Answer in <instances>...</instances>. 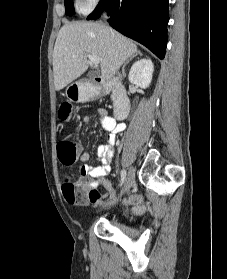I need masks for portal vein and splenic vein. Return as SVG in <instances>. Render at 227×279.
Segmentation results:
<instances>
[{
    "mask_svg": "<svg viewBox=\"0 0 227 279\" xmlns=\"http://www.w3.org/2000/svg\"><path fill=\"white\" fill-rule=\"evenodd\" d=\"M88 58H89L90 62H91L92 64H94V65H98L99 62H100V59H99V57H97V56L88 54Z\"/></svg>",
    "mask_w": 227,
    "mask_h": 279,
    "instance_id": "1",
    "label": "portal vein and splenic vein"
}]
</instances>
